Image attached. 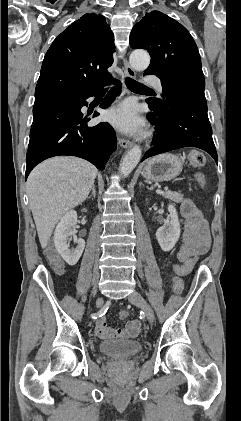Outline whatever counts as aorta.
<instances>
[{
    "mask_svg": "<svg viewBox=\"0 0 241 421\" xmlns=\"http://www.w3.org/2000/svg\"><path fill=\"white\" fill-rule=\"evenodd\" d=\"M130 64L137 71H144L150 64V56L142 49L134 50L130 55ZM142 151L139 146H134L123 158L119 172L122 176H128L141 159Z\"/></svg>",
    "mask_w": 241,
    "mask_h": 421,
    "instance_id": "762f6f07",
    "label": "aorta"
}]
</instances>
